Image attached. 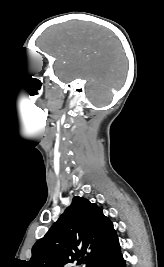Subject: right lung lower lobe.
Wrapping results in <instances>:
<instances>
[{
	"mask_svg": "<svg viewBox=\"0 0 164 267\" xmlns=\"http://www.w3.org/2000/svg\"><path fill=\"white\" fill-rule=\"evenodd\" d=\"M92 267H126L120 248L99 258Z\"/></svg>",
	"mask_w": 164,
	"mask_h": 267,
	"instance_id": "98d812e1",
	"label": "right lung lower lobe"
}]
</instances>
